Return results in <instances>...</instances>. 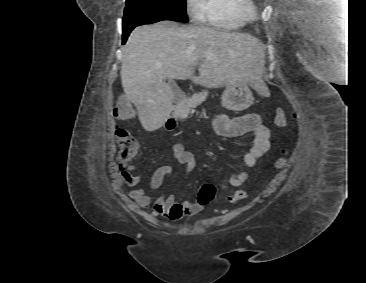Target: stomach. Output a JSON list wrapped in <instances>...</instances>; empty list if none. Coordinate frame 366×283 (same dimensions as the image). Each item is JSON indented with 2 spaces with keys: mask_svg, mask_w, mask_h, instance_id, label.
Segmentation results:
<instances>
[{
  "mask_svg": "<svg viewBox=\"0 0 366 283\" xmlns=\"http://www.w3.org/2000/svg\"><path fill=\"white\" fill-rule=\"evenodd\" d=\"M239 96H244L246 98L245 103H243V107H248L252 104L253 97L248 83L241 80L227 83L222 96L223 107L229 110H240L238 105L235 103V99Z\"/></svg>",
  "mask_w": 366,
  "mask_h": 283,
  "instance_id": "stomach-1",
  "label": "stomach"
}]
</instances>
